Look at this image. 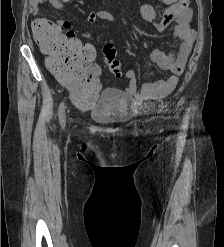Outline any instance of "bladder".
<instances>
[{"instance_id":"31cf9c89","label":"bladder","mask_w":224,"mask_h":247,"mask_svg":"<svg viewBox=\"0 0 224 247\" xmlns=\"http://www.w3.org/2000/svg\"><path fill=\"white\" fill-rule=\"evenodd\" d=\"M88 113L92 120L100 124L121 123L128 117L127 102L118 89L105 88Z\"/></svg>"}]
</instances>
